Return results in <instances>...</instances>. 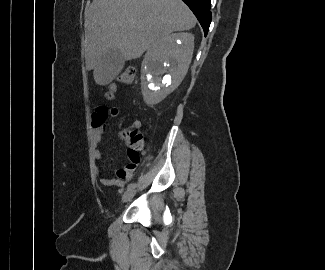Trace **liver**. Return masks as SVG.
I'll use <instances>...</instances> for the list:
<instances>
[{
    "label": "liver",
    "instance_id": "liver-1",
    "mask_svg": "<svg viewBox=\"0 0 325 270\" xmlns=\"http://www.w3.org/2000/svg\"><path fill=\"white\" fill-rule=\"evenodd\" d=\"M196 18L181 0H93L85 10L86 68L98 85L107 80L97 72L102 54L118 49L125 61L137 59L172 32L187 31Z\"/></svg>",
    "mask_w": 325,
    "mask_h": 270
}]
</instances>
